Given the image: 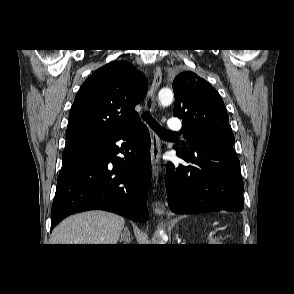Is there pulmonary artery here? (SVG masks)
<instances>
[{
	"mask_svg": "<svg viewBox=\"0 0 294 294\" xmlns=\"http://www.w3.org/2000/svg\"><path fill=\"white\" fill-rule=\"evenodd\" d=\"M169 127L170 129L175 131L181 130L183 128L181 121L176 118L170 119Z\"/></svg>",
	"mask_w": 294,
	"mask_h": 294,
	"instance_id": "obj_1",
	"label": "pulmonary artery"
}]
</instances>
